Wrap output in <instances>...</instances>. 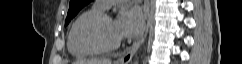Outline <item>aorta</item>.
<instances>
[{"label": "aorta", "instance_id": "aorta-1", "mask_svg": "<svg viewBox=\"0 0 242 64\" xmlns=\"http://www.w3.org/2000/svg\"><path fill=\"white\" fill-rule=\"evenodd\" d=\"M133 64H138V59H137V60H135Z\"/></svg>", "mask_w": 242, "mask_h": 64}]
</instances>
